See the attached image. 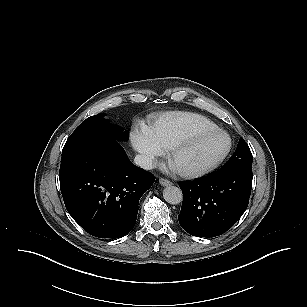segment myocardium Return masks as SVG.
<instances>
[{"mask_svg":"<svg viewBox=\"0 0 307 307\" xmlns=\"http://www.w3.org/2000/svg\"><path fill=\"white\" fill-rule=\"evenodd\" d=\"M215 135H223L227 139V146L224 149V151L220 155H218L215 159L205 164L195 166V167H190V168H182V169L174 168V170L179 176L184 177V178H195V177L205 175L215 170L229 156L233 148V140L227 131L217 127L211 130L193 133L189 135L188 137H186L185 139L177 142L175 145L167 148L166 154L169 160H172L174 157L188 150L189 148H191L194 144L198 143L199 141L210 138Z\"/></svg>","mask_w":307,"mask_h":307,"instance_id":"obj_1","label":"myocardium"}]
</instances>
